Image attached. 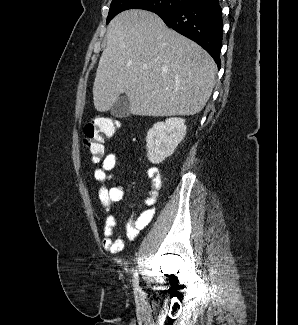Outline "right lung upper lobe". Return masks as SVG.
I'll return each mask as SVG.
<instances>
[{"label": "right lung upper lobe", "instance_id": "cb5924a9", "mask_svg": "<svg viewBox=\"0 0 298 325\" xmlns=\"http://www.w3.org/2000/svg\"><path fill=\"white\" fill-rule=\"evenodd\" d=\"M157 12L160 13V12H163V10H158Z\"/></svg>", "mask_w": 298, "mask_h": 325}]
</instances>
